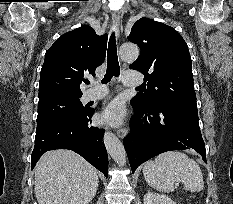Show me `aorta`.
<instances>
[{
	"label": "aorta",
	"mask_w": 233,
	"mask_h": 204,
	"mask_svg": "<svg viewBox=\"0 0 233 204\" xmlns=\"http://www.w3.org/2000/svg\"><path fill=\"white\" fill-rule=\"evenodd\" d=\"M119 55L125 61H134L139 56V48L134 44H123L120 47ZM104 144L110 156L119 165L126 163V152L122 142L112 132L104 134Z\"/></svg>",
	"instance_id": "762f6f07"
}]
</instances>
